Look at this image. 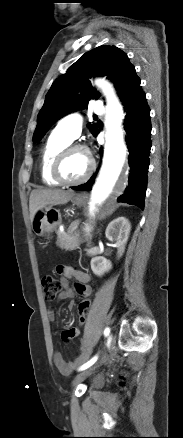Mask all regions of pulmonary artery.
Wrapping results in <instances>:
<instances>
[{"label":"pulmonary artery","instance_id":"obj_1","mask_svg":"<svg viewBox=\"0 0 183 438\" xmlns=\"http://www.w3.org/2000/svg\"><path fill=\"white\" fill-rule=\"evenodd\" d=\"M93 112L96 114H102L104 112L103 105L100 101L94 102L92 105ZM82 128V117L79 113H71L63 117L57 124L56 130L67 136L69 139H76Z\"/></svg>","mask_w":183,"mask_h":438}]
</instances>
